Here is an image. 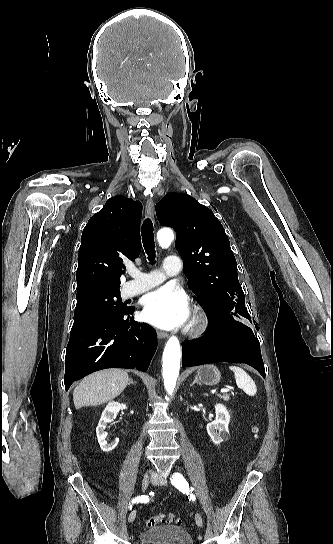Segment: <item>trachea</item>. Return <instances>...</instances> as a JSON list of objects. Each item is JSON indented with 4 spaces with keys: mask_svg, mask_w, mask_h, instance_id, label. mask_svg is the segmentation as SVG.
Instances as JSON below:
<instances>
[{
    "mask_svg": "<svg viewBox=\"0 0 333 544\" xmlns=\"http://www.w3.org/2000/svg\"><path fill=\"white\" fill-rule=\"evenodd\" d=\"M141 235H142L143 246L148 256V260L150 262H153L156 255H155V245H154L153 224L150 219H146L143 222Z\"/></svg>",
    "mask_w": 333,
    "mask_h": 544,
    "instance_id": "obj_1",
    "label": "trachea"
}]
</instances>
